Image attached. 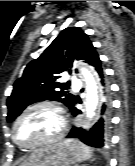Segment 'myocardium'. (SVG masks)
Wrapping results in <instances>:
<instances>
[{"mask_svg": "<svg viewBox=\"0 0 135 166\" xmlns=\"http://www.w3.org/2000/svg\"><path fill=\"white\" fill-rule=\"evenodd\" d=\"M38 108H51V109L57 111L60 116V120H61L60 129L56 135H54L53 137H51L49 139H46V140H43V141H40L37 143H33V144H23V143L19 142L16 138L17 125L20 122V120L28 112H30L34 109H38ZM66 130H67V117L65 115L64 108L61 105H59L58 103L53 102V101H42V102H38V103L28 106L18 115V117L15 119L13 126H12V139H13L14 143L21 148L34 149V148L52 145V144L58 142L59 140H61L63 138Z\"/></svg>", "mask_w": 135, "mask_h": 166, "instance_id": "1", "label": "myocardium"}]
</instances>
